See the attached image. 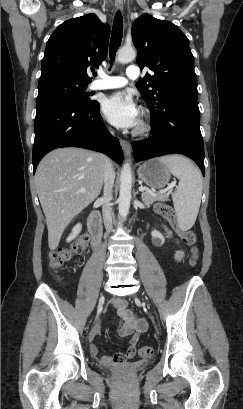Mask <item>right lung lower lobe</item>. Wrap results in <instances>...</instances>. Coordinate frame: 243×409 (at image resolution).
Wrapping results in <instances>:
<instances>
[{
    "label": "right lung lower lobe",
    "mask_w": 243,
    "mask_h": 409,
    "mask_svg": "<svg viewBox=\"0 0 243 409\" xmlns=\"http://www.w3.org/2000/svg\"><path fill=\"white\" fill-rule=\"evenodd\" d=\"M60 147L86 148L105 153L118 164L123 161L119 141L107 130L97 101L88 105L49 101L36 107L33 173L48 152Z\"/></svg>",
    "instance_id": "98d812e1"
}]
</instances>
